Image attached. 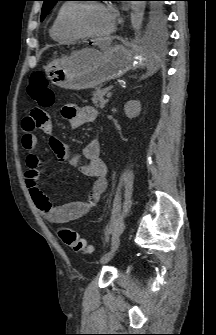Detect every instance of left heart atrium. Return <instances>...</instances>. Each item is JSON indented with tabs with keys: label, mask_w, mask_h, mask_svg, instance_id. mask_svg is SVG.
Listing matches in <instances>:
<instances>
[{
	"label": "left heart atrium",
	"mask_w": 216,
	"mask_h": 335,
	"mask_svg": "<svg viewBox=\"0 0 216 335\" xmlns=\"http://www.w3.org/2000/svg\"><path fill=\"white\" fill-rule=\"evenodd\" d=\"M106 12H107V15H108V18H109L110 22L113 24L114 20H115V17H116L115 10L112 9V8H108V9H106Z\"/></svg>",
	"instance_id": "obj_1"
}]
</instances>
